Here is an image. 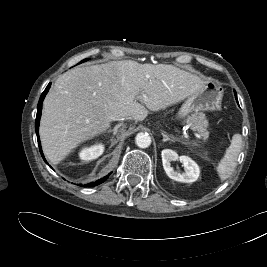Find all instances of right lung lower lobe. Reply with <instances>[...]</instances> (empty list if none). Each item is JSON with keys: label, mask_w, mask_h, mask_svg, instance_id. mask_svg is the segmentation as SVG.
Segmentation results:
<instances>
[{"label": "right lung lower lobe", "mask_w": 267, "mask_h": 267, "mask_svg": "<svg viewBox=\"0 0 267 267\" xmlns=\"http://www.w3.org/2000/svg\"><path fill=\"white\" fill-rule=\"evenodd\" d=\"M51 86V83L48 84V86L46 87V89L44 90V92L42 93L40 99H39V103H38V107H37V117H36V134H37V140H38V145H39V148H40V153L44 159V161L46 162L45 158H44V155L42 153V149H41V144H40V139H39V134H38V129H39V121H40V117H41V110H42V102L44 100V97L45 95L47 94L49 88ZM47 163V162H46ZM111 174V173H110ZM108 174L106 177L104 178H101L100 180H97L96 182H92V183H89V184H85L84 187H89V186H96V185H99L101 184L102 182H104L108 177L109 175Z\"/></svg>", "instance_id": "98d812e1"}]
</instances>
